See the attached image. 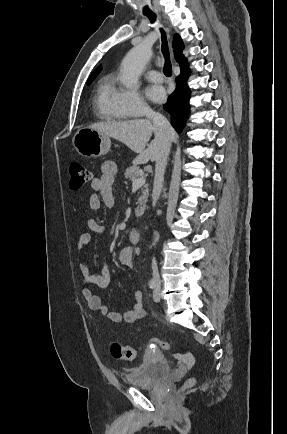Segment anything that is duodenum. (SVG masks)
<instances>
[{"label":"duodenum","instance_id":"duodenum-1","mask_svg":"<svg viewBox=\"0 0 287 434\" xmlns=\"http://www.w3.org/2000/svg\"><path fill=\"white\" fill-rule=\"evenodd\" d=\"M141 239V232L138 228H133L129 232V240L132 243H138Z\"/></svg>","mask_w":287,"mask_h":434}]
</instances>
